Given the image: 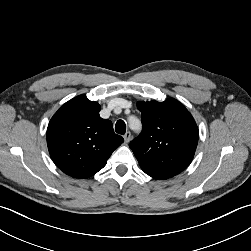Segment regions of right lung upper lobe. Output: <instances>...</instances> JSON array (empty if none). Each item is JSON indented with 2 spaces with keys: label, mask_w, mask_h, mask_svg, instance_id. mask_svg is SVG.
Instances as JSON below:
<instances>
[{
  "label": "right lung upper lobe",
  "mask_w": 251,
  "mask_h": 251,
  "mask_svg": "<svg viewBox=\"0 0 251 251\" xmlns=\"http://www.w3.org/2000/svg\"><path fill=\"white\" fill-rule=\"evenodd\" d=\"M100 105L85 96L66 102L51 118L47 145L55 165L74 178H88L107 163L124 139L99 115Z\"/></svg>",
  "instance_id": "1"
}]
</instances>
